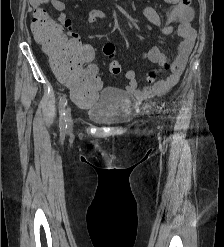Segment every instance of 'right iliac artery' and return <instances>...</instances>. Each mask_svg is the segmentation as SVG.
<instances>
[{
    "label": "right iliac artery",
    "instance_id": "1",
    "mask_svg": "<svg viewBox=\"0 0 224 247\" xmlns=\"http://www.w3.org/2000/svg\"><path fill=\"white\" fill-rule=\"evenodd\" d=\"M67 104L66 96L63 95L60 98L59 102V127L61 135H64L66 132L67 124H66V117H65V106Z\"/></svg>",
    "mask_w": 224,
    "mask_h": 247
}]
</instances>
